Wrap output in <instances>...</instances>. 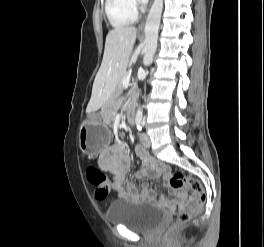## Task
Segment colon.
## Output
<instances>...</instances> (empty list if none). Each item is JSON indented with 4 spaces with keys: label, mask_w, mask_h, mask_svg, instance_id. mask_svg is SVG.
Instances as JSON below:
<instances>
[{
    "label": "colon",
    "mask_w": 264,
    "mask_h": 247,
    "mask_svg": "<svg viewBox=\"0 0 264 247\" xmlns=\"http://www.w3.org/2000/svg\"><path fill=\"white\" fill-rule=\"evenodd\" d=\"M86 177L95 188L96 198L100 200L106 199L110 192L107 176L98 168L89 166L86 169ZM169 185L171 189L182 195L181 198L175 201L176 219L172 228H177L189 223L203 209L206 202V194L197 179L181 172H175L170 176ZM187 191H191L193 195L185 198Z\"/></svg>",
    "instance_id": "1"
}]
</instances>
